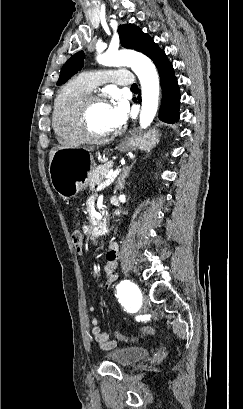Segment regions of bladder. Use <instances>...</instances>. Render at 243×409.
Listing matches in <instances>:
<instances>
[{
    "label": "bladder",
    "instance_id": "31cf9c89",
    "mask_svg": "<svg viewBox=\"0 0 243 409\" xmlns=\"http://www.w3.org/2000/svg\"><path fill=\"white\" fill-rule=\"evenodd\" d=\"M149 351L143 347H119L110 350L106 357L120 367L132 365L146 356Z\"/></svg>",
    "mask_w": 243,
    "mask_h": 409
}]
</instances>
